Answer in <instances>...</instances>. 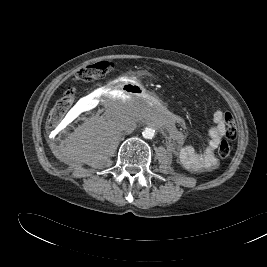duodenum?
<instances>
[{"instance_id":"duodenum-1","label":"duodenum","mask_w":267,"mask_h":267,"mask_svg":"<svg viewBox=\"0 0 267 267\" xmlns=\"http://www.w3.org/2000/svg\"><path fill=\"white\" fill-rule=\"evenodd\" d=\"M112 91L114 93L119 92H132L140 95H145L148 99H151L159 108H164L166 106V101L162 96L156 94L152 89H147L145 86L138 85L136 83H118L112 86Z\"/></svg>"}]
</instances>
